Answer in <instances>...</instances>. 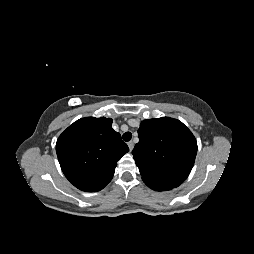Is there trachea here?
<instances>
[{
	"instance_id": "trachea-1",
	"label": "trachea",
	"mask_w": 254,
	"mask_h": 254,
	"mask_svg": "<svg viewBox=\"0 0 254 254\" xmlns=\"http://www.w3.org/2000/svg\"><path fill=\"white\" fill-rule=\"evenodd\" d=\"M131 138H132V134H131L130 132H125V133L123 134V140H124V141L128 142V141L131 140Z\"/></svg>"
}]
</instances>
